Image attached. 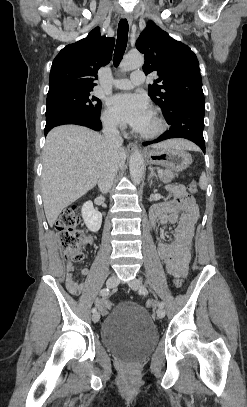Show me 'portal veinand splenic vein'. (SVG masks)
Returning <instances> with one entry per match:
<instances>
[{"label":"portal vein and splenic vein","mask_w":247,"mask_h":407,"mask_svg":"<svg viewBox=\"0 0 247 407\" xmlns=\"http://www.w3.org/2000/svg\"><path fill=\"white\" fill-rule=\"evenodd\" d=\"M157 172H158V173H161V172H162V170H158Z\"/></svg>","instance_id":"18ae733b"}]
</instances>
